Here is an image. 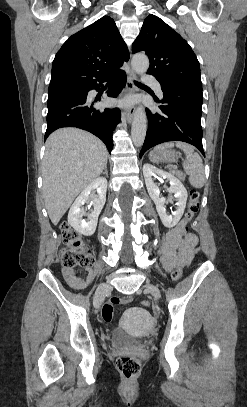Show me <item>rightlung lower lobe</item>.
I'll return each instance as SVG.
<instances>
[{"label":"right lung lower lobe","mask_w":247,"mask_h":407,"mask_svg":"<svg viewBox=\"0 0 247 407\" xmlns=\"http://www.w3.org/2000/svg\"><path fill=\"white\" fill-rule=\"evenodd\" d=\"M99 82L100 84H98ZM103 82H108L107 95L117 97L126 83V74L123 70L108 74L95 81L87 89L98 90ZM95 101H90L87 96L67 98L48 105L47 130L45 139L56 129L61 127H78L89 131L99 137L107 146L109 152L113 149V131L119 123L121 112L118 108L104 110L93 107Z\"/></svg>","instance_id":"98d812e1"}]
</instances>
